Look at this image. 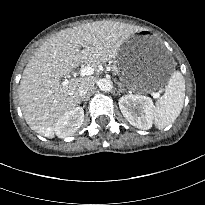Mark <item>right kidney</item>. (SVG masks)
Here are the masks:
<instances>
[{"label":"right kidney","mask_w":205,"mask_h":205,"mask_svg":"<svg viewBox=\"0 0 205 205\" xmlns=\"http://www.w3.org/2000/svg\"><path fill=\"white\" fill-rule=\"evenodd\" d=\"M84 110L82 107H75L66 111L56 122L54 131L59 138L72 136L83 124Z\"/></svg>","instance_id":"right-kidney-1"}]
</instances>
